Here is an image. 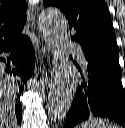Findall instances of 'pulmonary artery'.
Returning a JSON list of instances; mask_svg holds the SVG:
<instances>
[{
	"mask_svg": "<svg viewBox=\"0 0 125 128\" xmlns=\"http://www.w3.org/2000/svg\"><path fill=\"white\" fill-rule=\"evenodd\" d=\"M62 41H63V43H64L65 46L74 48V54H75L76 58L80 62L83 63L84 62V54H83L82 50L78 49L76 47V44L73 41H71L70 39L63 38Z\"/></svg>",
	"mask_w": 125,
	"mask_h": 128,
	"instance_id": "pulmonary-artery-1",
	"label": "pulmonary artery"
}]
</instances>
